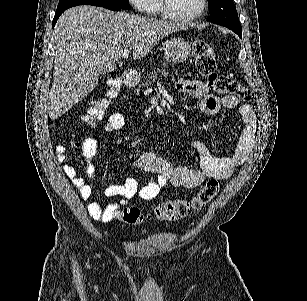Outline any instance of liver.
Listing matches in <instances>:
<instances>
[{
    "label": "liver",
    "mask_w": 307,
    "mask_h": 301,
    "mask_svg": "<svg viewBox=\"0 0 307 301\" xmlns=\"http://www.w3.org/2000/svg\"><path fill=\"white\" fill-rule=\"evenodd\" d=\"M177 20H159L131 12H113L100 6H72L59 16L53 30L55 48L53 82L48 96V114L58 118L90 94L99 74L116 68L124 48L134 60L171 32L186 30Z\"/></svg>",
    "instance_id": "obj_1"
}]
</instances>
